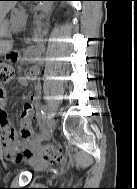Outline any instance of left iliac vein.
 Wrapping results in <instances>:
<instances>
[{"instance_id":"left-iliac-vein-1","label":"left iliac vein","mask_w":137,"mask_h":189,"mask_svg":"<svg viewBox=\"0 0 137 189\" xmlns=\"http://www.w3.org/2000/svg\"><path fill=\"white\" fill-rule=\"evenodd\" d=\"M55 127H56L55 119L52 116H49V119L47 121V128H46V131H45V133L43 135L42 140L49 141L51 136H52V133H53Z\"/></svg>"}]
</instances>
